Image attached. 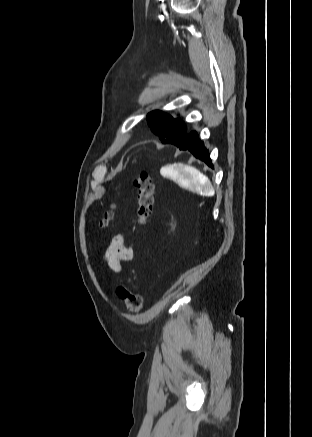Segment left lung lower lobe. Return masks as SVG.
Instances as JSON below:
<instances>
[{
	"label": "left lung lower lobe",
	"instance_id": "1",
	"mask_svg": "<svg viewBox=\"0 0 312 437\" xmlns=\"http://www.w3.org/2000/svg\"><path fill=\"white\" fill-rule=\"evenodd\" d=\"M170 143L177 146L180 150H187L191 152L196 158L204 161L208 166L213 167L209 153L204 147L203 142L199 139L196 131L188 133L181 140Z\"/></svg>",
	"mask_w": 312,
	"mask_h": 437
}]
</instances>
